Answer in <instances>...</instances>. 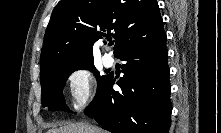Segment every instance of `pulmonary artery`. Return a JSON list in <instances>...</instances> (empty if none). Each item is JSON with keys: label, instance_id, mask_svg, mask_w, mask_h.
Returning <instances> with one entry per match:
<instances>
[{"label": "pulmonary artery", "instance_id": "pulmonary-artery-1", "mask_svg": "<svg viewBox=\"0 0 221 133\" xmlns=\"http://www.w3.org/2000/svg\"><path fill=\"white\" fill-rule=\"evenodd\" d=\"M103 64H104L106 67H111V66H113V64H114V58L112 57L111 54L106 53V54L103 56Z\"/></svg>", "mask_w": 221, "mask_h": 133}]
</instances>
